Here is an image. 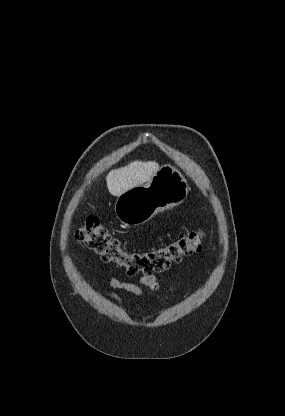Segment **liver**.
<instances>
[{"instance_id": "6515ba94", "label": "liver", "mask_w": 285, "mask_h": 416, "mask_svg": "<svg viewBox=\"0 0 285 416\" xmlns=\"http://www.w3.org/2000/svg\"><path fill=\"white\" fill-rule=\"evenodd\" d=\"M158 170L159 164L157 162H139V160L131 162L124 168L109 172L106 178L107 188L112 196H121L131 188L150 182Z\"/></svg>"}]
</instances>
